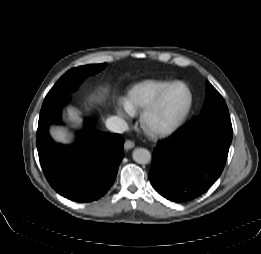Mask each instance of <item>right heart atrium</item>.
<instances>
[{"instance_id": "d8ad5b80", "label": "right heart atrium", "mask_w": 261, "mask_h": 254, "mask_svg": "<svg viewBox=\"0 0 261 254\" xmlns=\"http://www.w3.org/2000/svg\"><path fill=\"white\" fill-rule=\"evenodd\" d=\"M117 113L121 117L128 118L132 115V112L129 110L126 102H120L117 108Z\"/></svg>"}]
</instances>
